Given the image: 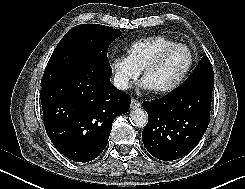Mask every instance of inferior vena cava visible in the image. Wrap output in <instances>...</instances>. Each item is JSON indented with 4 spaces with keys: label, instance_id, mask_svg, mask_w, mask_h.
I'll use <instances>...</instances> for the list:
<instances>
[{
    "label": "inferior vena cava",
    "instance_id": "obj_1",
    "mask_svg": "<svg viewBox=\"0 0 245 189\" xmlns=\"http://www.w3.org/2000/svg\"><path fill=\"white\" fill-rule=\"evenodd\" d=\"M113 84L116 88L120 90H125L129 87L127 80L122 76L117 75L114 77Z\"/></svg>",
    "mask_w": 245,
    "mask_h": 189
}]
</instances>
